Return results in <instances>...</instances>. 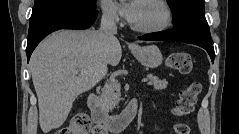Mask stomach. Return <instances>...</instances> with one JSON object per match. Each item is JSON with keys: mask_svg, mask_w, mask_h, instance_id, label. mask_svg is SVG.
Instances as JSON below:
<instances>
[{"mask_svg": "<svg viewBox=\"0 0 239 134\" xmlns=\"http://www.w3.org/2000/svg\"><path fill=\"white\" fill-rule=\"evenodd\" d=\"M131 52L147 68H157L163 60L161 51L155 45L132 47Z\"/></svg>", "mask_w": 239, "mask_h": 134, "instance_id": "obj_1", "label": "stomach"}]
</instances>
